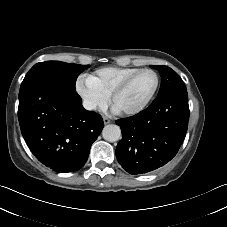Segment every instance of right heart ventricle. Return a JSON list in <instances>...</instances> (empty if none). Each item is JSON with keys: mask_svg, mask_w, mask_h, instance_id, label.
Listing matches in <instances>:
<instances>
[{"mask_svg": "<svg viewBox=\"0 0 227 227\" xmlns=\"http://www.w3.org/2000/svg\"><path fill=\"white\" fill-rule=\"evenodd\" d=\"M139 67H105L88 78L108 95L126 78L141 70Z\"/></svg>", "mask_w": 227, "mask_h": 227, "instance_id": "obj_1", "label": "right heart ventricle"}]
</instances>
